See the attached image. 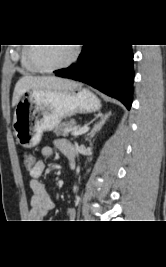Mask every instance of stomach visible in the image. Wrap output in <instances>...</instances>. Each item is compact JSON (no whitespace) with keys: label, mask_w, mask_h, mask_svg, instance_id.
Listing matches in <instances>:
<instances>
[{"label":"stomach","mask_w":166,"mask_h":267,"mask_svg":"<svg viewBox=\"0 0 166 267\" xmlns=\"http://www.w3.org/2000/svg\"><path fill=\"white\" fill-rule=\"evenodd\" d=\"M100 108V100L80 87L65 91L30 90L21 96L14 110V135L21 146L31 148L39 144L43 132L56 128L62 119Z\"/></svg>","instance_id":"obj_1"}]
</instances>
